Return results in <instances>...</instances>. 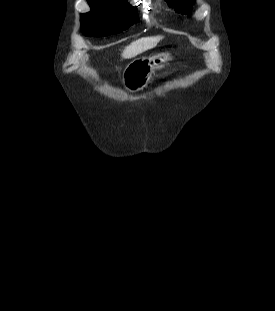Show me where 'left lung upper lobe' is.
<instances>
[{
    "instance_id": "5c2ea615",
    "label": "left lung upper lobe",
    "mask_w": 275,
    "mask_h": 311,
    "mask_svg": "<svg viewBox=\"0 0 275 311\" xmlns=\"http://www.w3.org/2000/svg\"><path fill=\"white\" fill-rule=\"evenodd\" d=\"M169 7L175 8L176 12H181L182 14L188 12L192 9V4L195 0H166Z\"/></svg>"
}]
</instances>
